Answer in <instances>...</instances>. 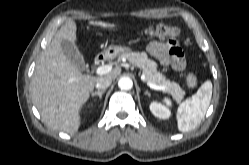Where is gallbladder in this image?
Wrapping results in <instances>:
<instances>
[{"instance_id": "bac80fb5", "label": "gallbladder", "mask_w": 249, "mask_h": 165, "mask_svg": "<svg viewBox=\"0 0 249 165\" xmlns=\"http://www.w3.org/2000/svg\"><path fill=\"white\" fill-rule=\"evenodd\" d=\"M62 50L70 62L79 70H86L88 65L85 63L83 56L80 54L75 44L68 40L62 41Z\"/></svg>"}]
</instances>
